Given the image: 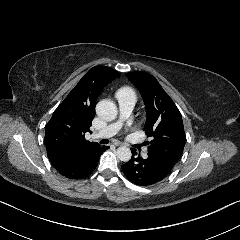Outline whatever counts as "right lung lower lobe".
<instances>
[{"instance_id":"right-lung-lower-lobe-1","label":"right lung lower lobe","mask_w":240,"mask_h":240,"mask_svg":"<svg viewBox=\"0 0 240 240\" xmlns=\"http://www.w3.org/2000/svg\"><path fill=\"white\" fill-rule=\"evenodd\" d=\"M108 148V146H97L84 151L77 157L56 159L51 161V163L64 177L69 179H83L94 171L101 154Z\"/></svg>"}]
</instances>
